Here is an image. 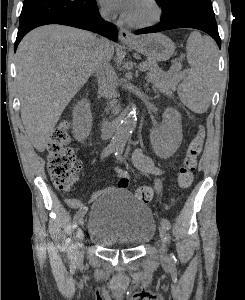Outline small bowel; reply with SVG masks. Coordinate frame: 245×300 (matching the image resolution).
Wrapping results in <instances>:
<instances>
[{
    "instance_id": "small-bowel-1",
    "label": "small bowel",
    "mask_w": 245,
    "mask_h": 300,
    "mask_svg": "<svg viewBox=\"0 0 245 300\" xmlns=\"http://www.w3.org/2000/svg\"><path fill=\"white\" fill-rule=\"evenodd\" d=\"M132 163L133 165L140 170L141 172L148 173L154 176H161L165 174V170L156 166L153 160L144 154L141 149H135L132 153ZM117 177H118V188L119 189H127L129 185V173L120 169L116 170ZM103 190L93 192L90 197L88 198V202H92L97 199ZM67 205L72 209H82V203L79 199L74 196H67L66 197Z\"/></svg>"
}]
</instances>
